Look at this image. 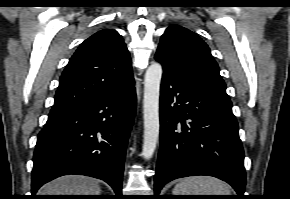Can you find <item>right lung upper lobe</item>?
Instances as JSON below:
<instances>
[{
	"label": "right lung upper lobe",
	"instance_id": "cb5924a9",
	"mask_svg": "<svg viewBox=\"0 0 290 199\" xmlns=\"http://www.w3.org/2000/svg\"><path fill=\"white\" fill-rule=\"evenodd\" d=\"M133 81L130 55L121 35L103 29L86 39L71 57L52 110L121 92Z\"/></svg>",
	"mask_w": 290,
	"mask_h": 199
}]
</instances>
